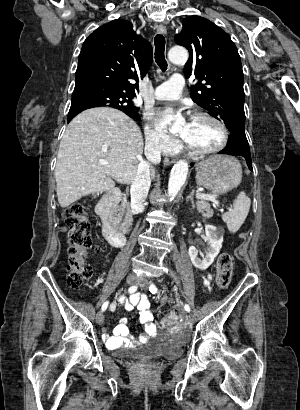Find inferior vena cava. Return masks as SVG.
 Here are the masks:
<instances>
[{"instance_id": "obj_1", "label": "inferior vena cava", "mask_w": 300, "mask_h": 410, "mask_svg": "<svg viewBox=\"0 0 300 410\" xmlns=\"http://www.w3.org/2000/svg\"><path fill=\"white\" fill-rule=\"evenodd\" d=\"M157 142L152 140L146 141L145 155L148 162L140 160L137 166V172L134 181L131 184V208L135 212H143L144 202L148 196L151 185L150 179V162L157 164L161 161V149L156 147ZM156 147L152 149L151 147Z\"/></svg>"}]
</instances>
